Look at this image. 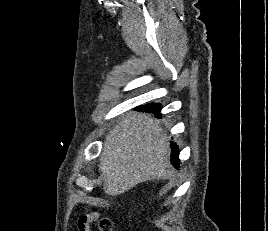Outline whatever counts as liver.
<instances>
[{
	"instance_id": "liver-1",
	"label": "liver",
	"mask_w": 268,
	"mask_h": 231,
	"mask_svg": "<svg viewBox=\"0 0 268 231\" xmlns=\"http://www.w3.org/2000/svg\"><path fill=\"white\" fill-rule=\"evenodd\" d=\"M169 137L157 119L146 113L128 114L106 136L99 170L105 194L116 196L153 179H167Z\"/></svg>"
}]
</instances>
